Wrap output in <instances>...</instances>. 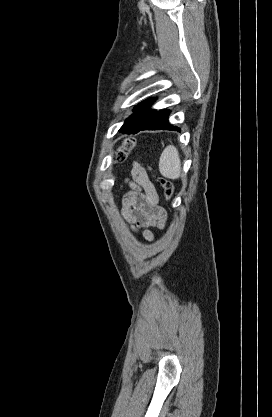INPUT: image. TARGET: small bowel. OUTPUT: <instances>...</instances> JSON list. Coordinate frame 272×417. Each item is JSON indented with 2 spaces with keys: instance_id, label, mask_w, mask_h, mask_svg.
I'll return each instance as SVG.
<instances>
[{
  "instance_id": "c3829d8e",
  "label": "small bowel",
  "mask_w": 272,
  "mask_h": 417,
  "mask_svg": "<svg viewBox=\"0 0 272 417\" xmlns=\"http://www.w3.org/2000/svg\"><path fill=\"white\" fill-rule=\"evenodd\" d=\"M131 176L132 191L124 197L123 216L135 234H139L138 228H144L142 236L151 242L154 239L152 228L164 226L166 212L159 206L157 191L143 167L134 163Z\"/></svg>"
}]
</instances>
